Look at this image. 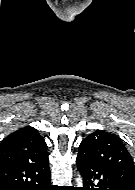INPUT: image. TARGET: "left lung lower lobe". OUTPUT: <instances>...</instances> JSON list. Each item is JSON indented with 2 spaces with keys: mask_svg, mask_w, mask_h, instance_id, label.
<instances>
[{
  "mask_svg": "<svg viewBox=\"0 0 135 190\" xmlns=\"http://www.w3.org/2000/svg\"><path fill=\"white\" fill-rule=\"evenodd\" d=\"M78 170L83 177L84 187L80 190H129L116 175L107 168L77 157ZM94 186L98 188H94Z\"/></svg>",
  "mask_w": 135,
  "mask_h": 190,
  "instance_id": "1",
  "label": "left lung lower lobe"
}]
</instances>
